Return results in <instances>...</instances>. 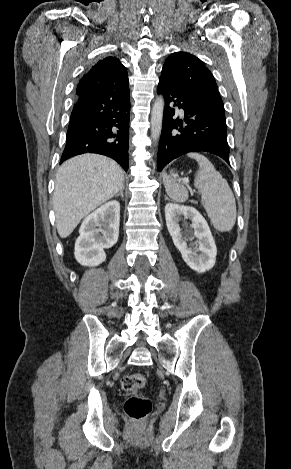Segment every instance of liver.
<instances>
[{
	"mask_svg": "<svg viewBox=\"0 0 291 469\" xmlns=\"http://www.w3.org/2000/svg\"><path fill=\"white\" fill-rule=\"evenodd\" d=\"M123 185V170L110 158L84 154L64 162L57 172L53 195L60 237H68L84 217L113 198Z\"/></svg>",
	"mask_w": 291,
	"mask_h": 469,
	"instance_id": "obj_1",
	"label": "liver"
}]
</instances>
